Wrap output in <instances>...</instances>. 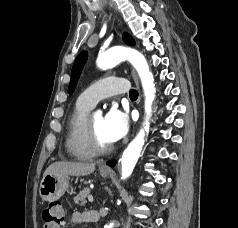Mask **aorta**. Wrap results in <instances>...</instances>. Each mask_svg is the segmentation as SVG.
<instances>
[{
  "instance_id": "aorta-1",
  "label": "aorta",
  "mask_w": 238,
  "mask_h": 228,
  "mask_svg": "<svg viewBox=\"0 0 238 228\" xmlns=\"http://www.w3.org/2000/svg\"><path fill=\"white\" fill-rule=\"evenodd\" d=\"M129 61L137 71L145 97V118L143 125L136 137L124 150L121 162V179L128 178L140 157L145 136L149 132L150 118L152 116V104L155 100V84L152 72L146 58L139 51L128 47H113L99 54L96 64L100 69H108L116 66L122 61ZM113 222L107 223L104 228H113Z\"/></svg>"
}]
</instances>
